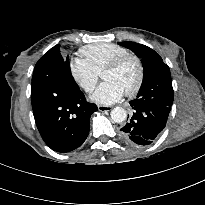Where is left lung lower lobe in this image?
Masks as SVG:
<instances>
[{
  "label": "left lung lower lobe",
  "mask_w": 205,
  "mask_h": 205,
  "mask_svg": "<svg viewBox=\"0 0 205 205\" xmlns=\"http://www.w3.org/2000/svg\"><path fill=\"white\" fill-rule=\"evenodd\" d=\"M134 110L132 117L121 128L122 137L129 143L150 145L166 126L171 106L129 102Z\"/></svg>",
  "instance_id": "obj_1"
}]
</instances>
